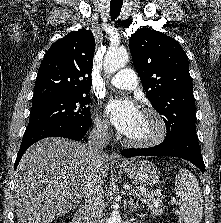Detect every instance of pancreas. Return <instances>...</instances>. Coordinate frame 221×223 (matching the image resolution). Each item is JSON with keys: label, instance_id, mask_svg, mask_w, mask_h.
<instances>
[{"label": "pancreas", "instance_id": "obj_1", "mask_svg": "<svg viewBox=\"0 0 221 223\" xmlns=\"http://www.w3.org/2000/svg\"><path fill=\"white\" fill-rule=\"evenodd\" d=\"M139 198L153 215L158 216L160 214H163V197H155L154 194H150L149 196H140Z\"/></svg>", "mask_w": 221, "mask_h": 223}]
</instances>
